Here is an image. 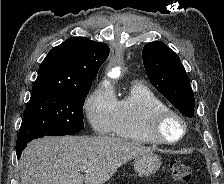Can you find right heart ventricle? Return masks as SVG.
Masks as SVG:
<instances>
[{
	"label": "right heart ventricle",
	"mask_w": 224,
	"mask_h": 184,
	"mask_svg": "<svg viewBox=\"0 0 224 184\" xmlns=\"http://www.w3.org/2000/svg\"><path fill=\"white\" fill-rule=\"evenodd\" d=\"M166 104L149 87L135 83L116 99L110 132L118 137L142 144H154L148 133L152 111Z\"/></svg>",
	"instance_id": "right-heart-ventricle-1"
}]
</instances>
